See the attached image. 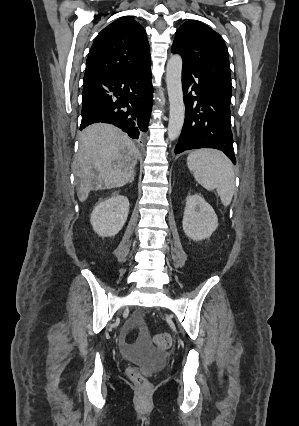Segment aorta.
<instances>
[{
  "label": "aorta",
  "instance_id": "obj_1",
  "mask_svg": "<svg viewBox=\"0 0 299 426\" xmlns=\"http://www.w3.org/2000/svg\"><path fill=\"white\" fill-rule=\"evenodd\" d=\"M181 74L182 58L178 54L172 55L166 67V84L170 104L168 123V138L170 141L177 139L184 124L185 107Z\"/></svg>",
  "mask_w": 299,
  "mask_h": 426
}]
</instances>
